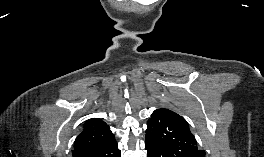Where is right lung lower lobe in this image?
<instances>
[{"label":"right lung lower lobe","instance_id":"right-lung-lower-lobe-1","mask_svg":"<svg viewBox=\"0 0 264 157\" xmlns=\"http://www.w3.org/2000/svg\"><path fill=\"white\" fill-rule=\"evenodd\" d=\"M80 157H121V152L115 139L103 146L84 153Z\"/></svg>","mask_w":264,"mask_h":157}]
</instances>
